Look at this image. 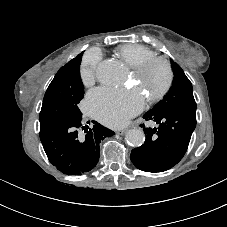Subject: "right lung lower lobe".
<instances>
[{
    "instance_id": "right-lung-lower-lobe-1",
    "label": "right lung lower lobe",
    "mask_w": 227,
    "mask_h": 227,
    "mask_svg": "<svg viewBox=\"0 0 227 227\" xmlns=\"http://www.w3.org/2000/svg\"><path fill=\"white\" fill-rule=\"evenodd\" d=\"M93 123L92 129L85 130L83 138L78 135L81 120H60L40 129V140L51 164L67 175L92 170L99 160V144L115 134L98 122Z\"/></svg>"
}]
</instances>
